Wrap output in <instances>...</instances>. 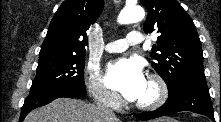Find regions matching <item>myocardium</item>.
I'll return each mask as SVG.
<instances>
[{
	"label": "myocardium",
	"mask_w": 221,
	"mask_h": 122,
	"mask_svg": "<svg viewBox=\"0 0 221 122\" xmlns=\"http://www.w3.org/2000/svg\"><path fill=\"white\" fill-rule=\"evenodd\" d=\"M148 82L153 85L155 89V95L148 101L136 102L135 107L140 110H154L162 106L166 102L169 95L167 83L160 75H149Z\"/></svg>",
	"instance_id": "1"
}]
</instances>
